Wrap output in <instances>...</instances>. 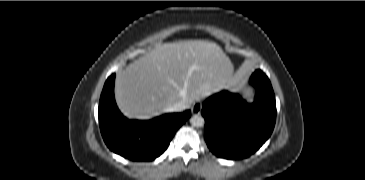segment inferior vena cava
I'll use <instances>...</instances> for the list:
<instances>
[{
  "mask_svg": "<svg viewBox=\"0 0 365 180\" xmlns=\"http://www.w3.org/2000/svg\"><path fill=\"white\" fill-rule=\"evenodd\" d=\"M188 108L187 104L184 101H180L173 106L169 107V111H182Z\"/></svg>",
  "mask_w": 365,
  "mask_h": 180,
  "instance_id": "obj_1",
  "label": "inferior vena cava"
}]
</instances>
